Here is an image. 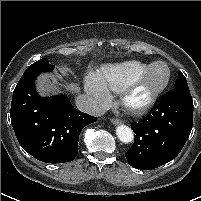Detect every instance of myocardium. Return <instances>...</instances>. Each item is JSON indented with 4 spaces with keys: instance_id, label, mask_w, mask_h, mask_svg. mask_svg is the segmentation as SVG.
Listing matches in <instances>:
<instances>
[{
    "instance_id": "obj_1",
    "label": "myocardium",
    "mask_w": 201,
    "mask_h": 201,
    "mask_svg": "<svg viewBox=\"0 0 201 201\" xmlns=\"http://www.w3.org/2000/svg\"><path fill=\"white\" fill-rule=\"evenodd\" d=\"M158 64H163L167 69V76L164 82L158 87L149 91L144 98L136 100L134 98L136 90L140 87L150 71ZM171 80V69L164 61L151 63L140 75L128 83L121 93V103L126 111L134 115H141L148 112L156 103L160 95L166 90Z\"/></svg>"
}]
</instances>
